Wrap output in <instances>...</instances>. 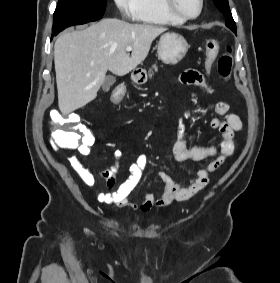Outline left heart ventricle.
Instances as JSON below:
<instances>
[{"instance_id":"b2bd125f","label":"left heart ventricle","mask_w":280,"mask_h":283,"mask_svg":"<svg viewBox=\"0 0 280 283\" xmlns=\"http://www.w3.org/2000/svg\"><path fill=\"white\" fill-rule=\"evenodd\" d=\"M176 6L188 15H195L199 10V0H175Z\"/></svg>"}]
</instances>
